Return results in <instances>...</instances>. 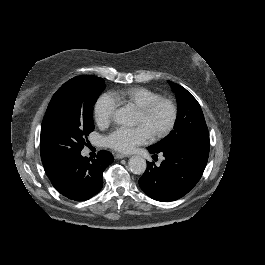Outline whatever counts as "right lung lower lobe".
I'll use <instances>...</instances> for the list:
<instances>
[{"mask_svg":"<svg viewBox=\"0 0 265 265\" xmlns=\"http://www.w3.org/2000/svg\"><path fill=\"white\" fill-rule=\"evenodd\" d=\"M114 158L108 151H100L90 161L77 154L73 157L43 163L53 187L68 199L84 201L97 194L103 185L102 174Z\"/></svg>","mask_w":265,"mask_h":265,"instance_id":"98d812e1","label":"right lung lower lobe"}]
</instances>
